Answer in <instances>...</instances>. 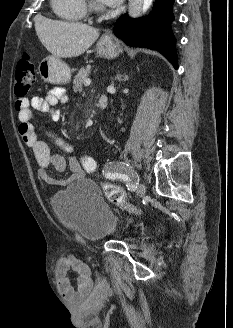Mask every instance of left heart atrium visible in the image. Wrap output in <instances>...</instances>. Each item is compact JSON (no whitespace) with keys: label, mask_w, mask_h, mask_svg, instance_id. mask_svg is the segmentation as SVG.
Masks as SVG:
<instances>
[{"label":"left heart atrium","mask_w":233,"mask_h":328,"mask_svg":"<svg viewBox=\"0 0 233 328\" xmlns=\"http://www.w3.org/2000/svg\"><path fill=\"white\" fill-rule=\"evenodd\" d=\"M100 4L107 7H116L118 6L122 0H97Z\"/></svg>","instance_id":"39dd6f15"}]
</instances>
